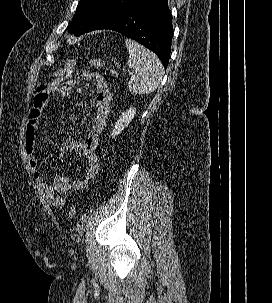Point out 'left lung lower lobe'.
Returning a JSON list of instances; mask_svg holds the SVG:
<instances>
[{
	"label": "left lung lower lobe",
	"mask_w": 272,
	"mask_h": 303,
	"mask_svg": "<svg viewBox=\"0 0 272 303\" xmlns=\"http://www.w3.org/2000/svg\"><path fill=\"white\" fill-rule=\"evenodd\" d=\"M101 29L114 30L138 41L155 52L167 67L173 37L168 0H141L93 30Z\"/></svg>",
	"instance_id": "obj_1"
}]
</instances>
